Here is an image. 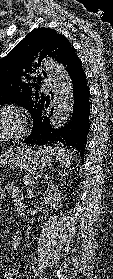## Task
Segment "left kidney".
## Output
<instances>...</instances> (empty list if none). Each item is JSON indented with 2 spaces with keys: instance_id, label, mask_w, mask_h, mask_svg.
<instances>
[{
  "instance_id": "obj_1",
  "label": "left kidney",
  "mask_w": 113,
  "mask_h": 279,
  "mask_svg": "<svg viewBox=\"0 0 113 279\" xmlns=\"http://www.w3.org/2000/svg\"><path fill=\"white\" fill-rule=\"evenodd\" d=\"M63 195L59 190V185L52 184L50 185L44 193V200L46 204L50 205L51 207L57 209L58 206L61 205V199Z\"/></svg>"
}]
</instances>
